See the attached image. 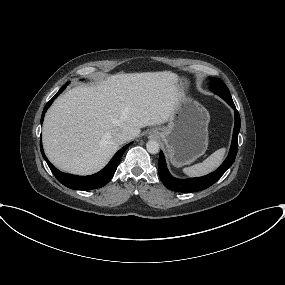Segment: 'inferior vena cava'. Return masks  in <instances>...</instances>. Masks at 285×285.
I'll return each mask as SVG.
<instances>
[{
	"label": "inferior vena cava",
	"mask_w": 285,
	"mask_h": 285,
	"mask_svg": "<svg viewBox=\"0 0 285 285\" xmlns=\"http://www.w3.org/2000/svg\"><path fill=\"white\" fill-rule=\"evenodd\" d=\"M113 139L117 144L121 145L129 139V136L125 131H118L113 134Z\"/></svg>",
	"instance_id": "602c4592"
}]
</instances>
